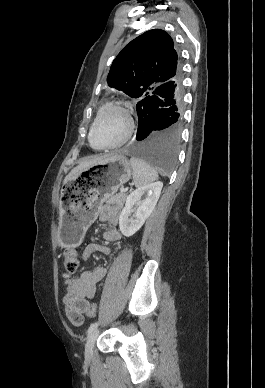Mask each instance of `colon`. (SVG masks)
Here are the masks:
<instances>
[{"instance_id":"colon-1","label":"colon","mask_w":265,"mask_h":388,"mask_svg":"<svg viewBox=\"0 0 265 388\" xmlns=\"http://www.w3.org/2000/svg\"><path fill=\"white\" fill-rule=\"evenodd\" d=\"M64 267L68 273H74L79 267L78 254L74 249H67L64 253ZM97 306L90 304L86 309V314L90 317H95Z\"/></svg>"}]
</instances>
